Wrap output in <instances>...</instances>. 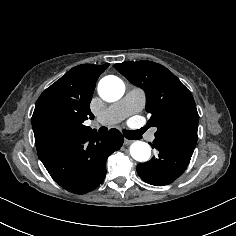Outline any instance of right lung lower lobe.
<instances>
[{"label": "right lung lower lobe", "mask_w": 236, "mask_h": 236, "mask_svg": "<svg viewBox=\"0 0 236 236\" xmlns=\"http://www.w3.org/2000/svg\"><path fill=\"white\" fill-rule=\"evenodd\" d=\"M122 134L112 129L107 135L95 130L60 137L37 149L51 177L64 189L84 194L95 189L106 175L108 156L121 148Z\"/></svg>", "instance_id": "right-lung-lower-lobe-1"}]
</instances>
